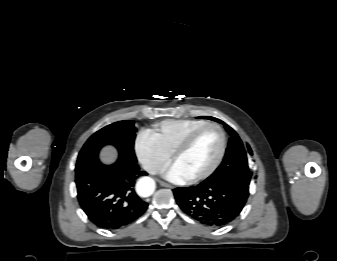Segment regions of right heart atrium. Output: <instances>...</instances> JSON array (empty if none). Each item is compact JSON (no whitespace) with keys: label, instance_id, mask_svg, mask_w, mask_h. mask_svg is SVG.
I'll list each match as a JSON object with an SVG mask.
<instances>
[{"label":"right heart atrium","instance_id":"d8ad5b80","mask_svg":"<svg viewBox=\"0 0 337 261\" xmlns=\"http://www.w3.org/2000/svg\"><path fill=\"white\" fill-rule=\"evenodd\" d=\"M135 151L144 169L152 174L158 173L170 159V154L160 146L149 131L138 134Z\"/></svg>","mask_w":337,"mask_h":261}]
</instances>
